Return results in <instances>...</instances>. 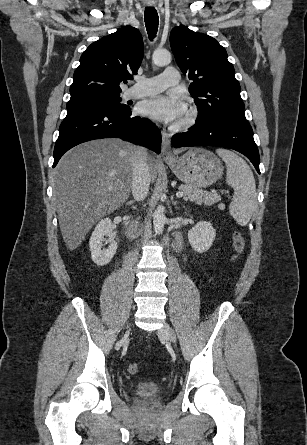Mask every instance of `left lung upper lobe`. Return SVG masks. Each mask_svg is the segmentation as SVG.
<instances>
[{"instance_id":"left-lung-upper-lobe-1","label":"left lung upper lobe","mask_w":307,"mask_h":445,"mask_svg":"<svg viewBox=\"0 0 307 445\" xmlns=\"http://www.w3.org/2000/svg\"><path fill=\"white\" fill-rule=\"evenodd\" d=\"M170 44L178 66L193 80L189 92L199 111L196 123L221 117L245 119L240 84L218 41L180 25L172 29Z\"/></svg>"}]
</instances>
